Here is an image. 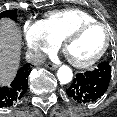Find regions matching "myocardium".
<instances>
[{
    "mask_svg": "<svg viewBox=\"0 0 117 117\" xmlns=\"http://www.w3.org/2000/svg\"><path fill=\"white\" fill-rule=\"evenodd\" d=\"M94 26H99L102 27L105 31H106V41L104 46L102 47V49L91 59L87 60V61H75L71 58L68 57L66 50L68 45L74 41L75 39H77L85 30L94 27ZM112 31L110 29V27L108 25H106L105 23H102L100 21H91V22H86L83 23L81 25H79L78 27H76L74 30H72L70 33H68L64 39L62 40V49L64 51V53L67 55L70 63L77 67V68H88L91 67L92 65H94L95 63H97L107 52V50L110 47L111 41H112Z\"/></svg>",
    "mask_w": 117,
    "mask_h": 117,
    "instance_id": "f54148a6",
    "label": "myocardium"
}]
</instances>
